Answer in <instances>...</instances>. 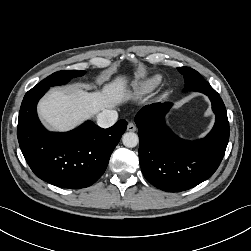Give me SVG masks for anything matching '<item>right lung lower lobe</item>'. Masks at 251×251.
I'll return each instance as SVG.
<instances>
[{
	"instance_id": "1",
	"label": "right lung lower lobe",
	"mask_w": 251,
	"mask_h": 251,
	"mask_svg": "<svg viewBox=\"0 0 251 251\" xmlns=\"http://www.w3.org/2000/svg\"><path fill=\"white\" fill-rule=\"evenodd\" d=\"M48 89L34 87L24 96L17 126L21 151L40 179L62 188L88 187L103 175L127 122L119 120L102 129L87 121L69 132H49L36 112L37 102Z\"/></svg>"
}]
</instances>
